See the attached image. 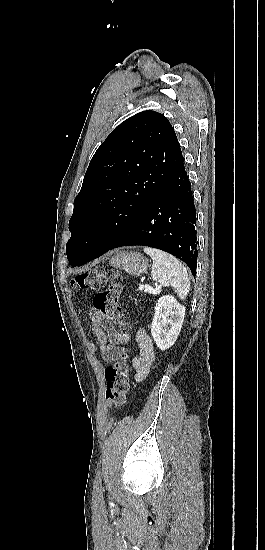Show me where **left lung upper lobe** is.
Wrapping results in <instances>:
<instances>
[{
	"label": "left lung upper lobe",
	"instance_id": "1",
	"mask_svg": "<svg viewBox=\"0 0 265 550\" xmlns=\"http://www.w3.org/2000/svg\"><path fill=\"white\" fill-rule=\"evenodd\" d=\"M183 163L166 117L147 110L122 122L95 152L74 201L66 244L71 266L108 249Z\"/></svg>",
	"mask_w": 265,
	"mask_h": 550
}]
</instances>
